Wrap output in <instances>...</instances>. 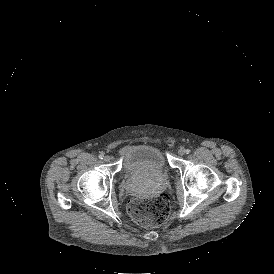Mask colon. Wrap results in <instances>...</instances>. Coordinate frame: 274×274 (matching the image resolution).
<instances>
[{
    "label": "colon",
    "instance_id": "obj_1",
    "mask_svg": "<svg viewBox=\"0 0 274 274\" xmlns=\"http://www.w3.org/2000/svg\"><path fill=\"white\" fill-rule=\"evenodd\" d=\"M129 212L137 224L149 227L164 225L171 217L168 199L163 194L133 198L129 203Z\"/></svg>",
    "mask_w": 274,
    "mask_h": 274
}]
</instances>
